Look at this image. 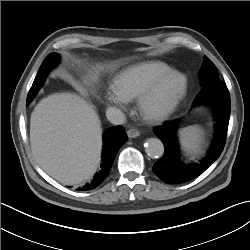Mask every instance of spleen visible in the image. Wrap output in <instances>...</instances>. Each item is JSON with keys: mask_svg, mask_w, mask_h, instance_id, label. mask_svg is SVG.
<instances>
[{"mask_svg": "<svg viewBox=\"0 0 250 250\" xmlns=\"http://www.w3.org/2000/svg\"><path fill=\"white\" fill-rule=\"evenodd\" d=\"M179 140L182 149L190 155L200 152L204 141V131L198 125H191L180 129Z\"/></svg>", "mask_w": 250, "mask_h": 250, "instance_id": "3e777b00", "label": "spleen"}]
</instances>
